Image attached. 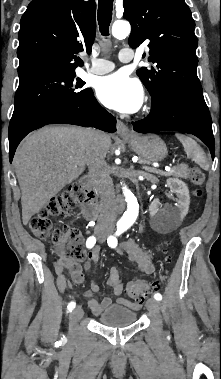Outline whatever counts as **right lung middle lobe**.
<instances>
[{"instance_id":"obj_1","label":"right lung middle lobe","mask_w":221,"mask_h":379,"mask_svg":"<svg viewBox=\"0 0 221 379\" xmlns=\"http://www.w3.org/2000/svg\"><path fill=\"white\" fill-rule=\"evenodd\" d=\"M75 76V71H67L41 74L20 81L9 124V138L40 117L87 97L91 89L82 88L85 83Z\"/></svg>"}]
</instances>
